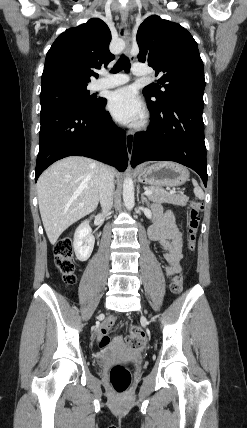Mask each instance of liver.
<instances>
[{
	"mask_svg": "<svg viewBox=\"0 0 247 428\" xmlns=\"http://www.w3.org/2000/svg\"><path fill=\"white\" fill-rule=\"evenodd\" d=\"M100 171V163L72 156L54 163L39 177V210L52 245L70 225L98 206Z\"/></svg>",
	"mask_w": 247,
	"mask_h": 428,
	"instance_id": "liver-1",
	"label": "liver"
}]
</instances>
